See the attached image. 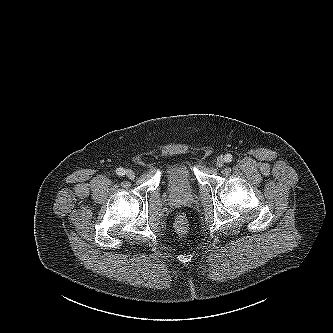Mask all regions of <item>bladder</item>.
Masks as SVG:
<instances>
[{
	"label": "bladder",
	"mask_w": 333,
	"mask_h": 333,
	"mask_svg": "<svg viewBox=\"0 0 333 333\" xmlns=\"http://www.w3.org/2000/svg\"><path fill=\"white\" fill-rule=\"evenodd\" d=\"M165 179L170 191L176 193L189 191L195 183L193 163L188 159L172 163L165 171Z\"/></svg>",
	"instance_id": "31cf9c89"
}]
</instances>
